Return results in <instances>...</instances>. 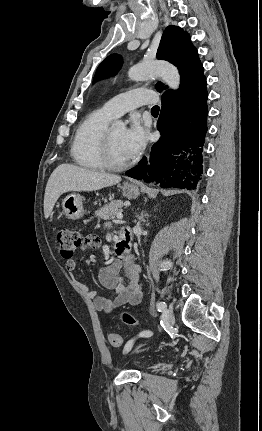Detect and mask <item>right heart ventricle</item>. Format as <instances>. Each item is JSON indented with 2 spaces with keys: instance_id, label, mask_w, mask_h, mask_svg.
<instances>
[{
  "instance_id": "e07e8e85",
  "label": "right heart ventricle",
  "mask_w": 262,
  "mask_h": 431,
  "mask_svg": "<svg viewBox=\"0 0 262 431\" xmlns=\"http://www.w3.org/2000/svg\"><path fill=\"white\" fill-rule=\"evenodd\" d=\"M113 118L101 107L89 113L80 123L71 146V155L80 167L89 170L106 167L102 155L103 136Z\"/></svg>"
}]
</instances>
